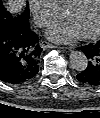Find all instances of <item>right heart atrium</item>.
Returning <instances> with one entry per match:
<instances>
[{
	"label": "right heart atrium",
	"instance_id": "d8ad5b80",
	"mask_svg": "<svg viewBox=\"0 0 100 118\" xmlns=\"http://www.w3.org/2000/svg\"><path fill=\"white\" fill-rule=\"evenodd\" d=\"M29 9L38 27L48 26L59 14L54 0H28Z\"/></svg>",
	"mask_w": 100,
	"mask_h": 118
}]
</instances>
